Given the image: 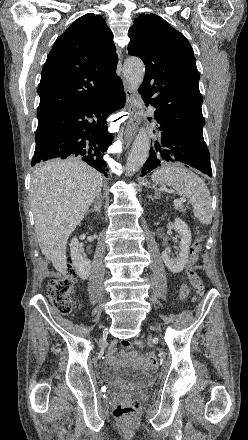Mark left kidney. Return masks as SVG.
<instances>
[{
	"instance_id": "5707ae66",
	"label": "left kidney",
	"mask_w": 248,
	"mask_h": 440,
	"mask_svg": "<svg viewBox=\"0 0 248 440\" xmlns=\"http://www.w3.org/2000/svg\"><path fill=\"white\" fill-rule=\"evenodd\" d=\"M174 229L179 234V237L181 239L179 245V253L177 254V258H171L170 252L168 250H164L162 252V259L166 267L172 273H180L183 271L185 265L188 262V254L190 249L189 247L191 244V231L188 225L180 218L175 219Z\"/></svg>"
}]
</instances>
